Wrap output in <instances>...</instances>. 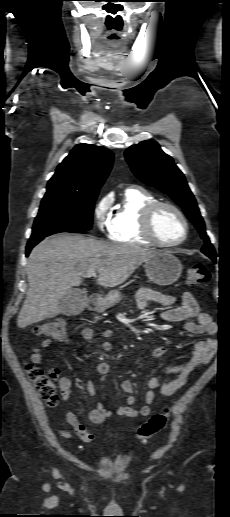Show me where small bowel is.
I'll return each mask as SVG.
<instances>
[{"instance_id": "small-bowel-1", "label": "small bowel", "mask_w": 230, "mask_h": 517, "mask_svg": "<svg viewBox=\"0 0 230 517\" xmlns=\"http://www.w3.org/2000/svg\"><path fill=\"white\" fill-rule=\"evenodd\" d=\"M181 305L168 309L161 313V319L165 322H182L185 321L184 329L191 334H204L206 339L195 343L194 351L189 360L186 362L165 368L164 375L170 379L162 382L157 377H152L149 382V390L144 395V405L135 408L136 397L133 395L134 387L130 380H123L120 383V388L123 392L128 394L125 404L118 407L115 413L119 416H126L131 418H139L148 416L151 413L150 404L152 403L155 392H159L163 396H171L178 389H180L188 380L191 373L200 366H204L212 361L217 352V341L214 336L218 331L217 324L211 317L202 312L195 297L190 292H184L180 295ZM137 305L140 309H144L150 302H155L161 306H171L176 300L177 296L174 294H161L151 289H142L137 293ZM195 318L196 321L191 319ZM112 335L111 330L102 333V336L108 337ZM81 336L85 340H93L95 332L91 327H84L81 330ZM52 340H44L38 347H36L31 356L30 362L37 364L43 360V350H46L52 344ZM70 343L71 340L66 341ZM97 347L103 351H112L114 346L108 341L98 343ZM166 349L162 346L154 347L150 350L152 358H159L165 354ZM96 370L100 376V383L105 382L109 373L110 366L105 362H100L96 366ZM61 388V396L64 400L69 399L73 394V384L67 377H61L59 380ZM86 387L90 395L96 394V388L92 381H87ZM112 414V411L106 409L102 402H97L90 410L88 418L93 424H101L107 417ZM66 422L72 427L73 432L83 442H92L95 435L79 421L78 416L72 411L65 412ZM60 435L65 439H71V433L61 429Z\"/></svg>"}]
</instances>
